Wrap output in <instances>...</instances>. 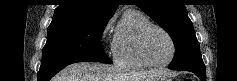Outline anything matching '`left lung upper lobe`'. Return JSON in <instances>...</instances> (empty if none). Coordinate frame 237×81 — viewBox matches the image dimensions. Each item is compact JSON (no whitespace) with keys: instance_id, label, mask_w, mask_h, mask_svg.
Instances as JSON below:
<instances>
[{"instance_id":"left-lung-upper-lobe-1","label":"left lung upper lobe","mask_w":237,"mask_h":81,"mask_svg":"<svg viewBox=\"0 0 237 81\" xmlns=\"http://www.w3.org/2000/svg\"><path fill=\"white\" fill-rule=\"evenodd\" d=\"M137 6L171 36L176 51L170 69L205 71L192 22L180 0H137Z\"/></svg>"}]
</instances>
